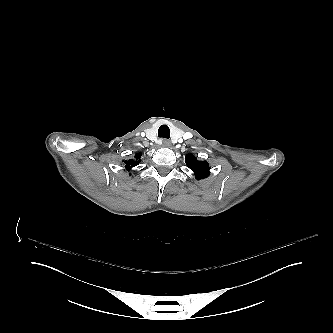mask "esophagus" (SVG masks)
I'll list each match as a JSON object with an SVG mask.
<instances>
[{
  "mask_svg": "<svg viewBox=\"0 0 333 333\" xmlns=\"http://www.w3.org/2000/svg\"><path fill=\"white\" fill-rule=\"evenodd\" d=\"M163 146L170 147L171 146V142L169 140H167V139H164L163 140Z\"/></svg>",
  "mask_w": 333,
  "mask_h": 333,
  "instance_id": "obj_1",
  "label": "esophagus"
}]
</instances>
